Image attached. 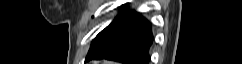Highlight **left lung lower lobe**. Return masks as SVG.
Instances as JSON below:
<instances>
[{
	"label": "left lung lower lobe",
	"instance_id": "0a47b994",
	"mask_svg": "<svg viewBox=\"0 0 242 64\" xmlns=\"http://www.w3.org/2000/svg\"><path fill=\"white\" fill-rule=\"evenodd\" d=\"M152 42L150 22L134 10L126 11L123 5L120 15L93 40L85 61L108 59L124 64H148Z\"/></svg>",
	"mask_w": 242,
	"mask_h": 64
}]
</instances>
